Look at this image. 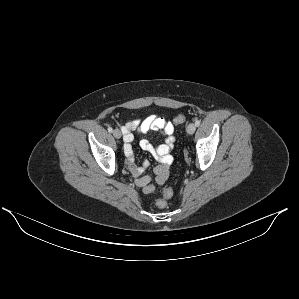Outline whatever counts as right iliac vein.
Here are the masks:
<instances>
[{"label": "right iliac vein", "mask_w": 299, "mask_h": 299, "mask_svg": "<svg viewBox=\"0 0 299 299\" xmlns=\"http://www.w3.org/2000/svg\"><path fill=\"white\" fill-rule=\"evenodd\" d=\"M113 135L116 139H120L121 138V131L119 129H115L113 131Z\"/></svg>", "instance_id": "1"}]
</instances>
